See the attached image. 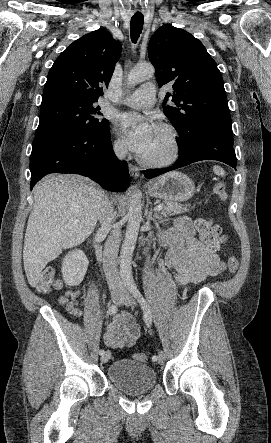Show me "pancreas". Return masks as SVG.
I'll return each instance as SVG.
<instances>
[{
	"label": "pancreas",
	"instance_id": "1",
	"mask_svg": "<svg viewBox=\"0 0 271 443\" xmlns=\"http://www.w3.org/2000/svg\"><path fill=\"white\" fill-rule=\"evenodd\" d=\"M188 206V204H185ZM183 204H177V202H164L163 210H161L160 214L167 218V216H176V214H184V212H188V208H185Z\"/></svg>",
	"mask_w": 271,
	"mask_h": 443
}]
</instances>
